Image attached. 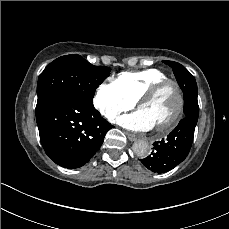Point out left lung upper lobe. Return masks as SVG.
Returning <instances> with one entry per match:
<instances>
[{
	"mask_svg": "<svg viewBox=\"0 0 229 229\" xmlns=\"http://www.w3.org/2000/svg\"><path fill=\"white\" fill-rule=\"evenodd\" d=\"M163 62L173 69L174 75L183 93L189 90H197V84L194 76L191 75L183 65L173 61Z\"/></svg>",
	"mask_w": 229,
	"mask_h": 229,
	"instance_id": "left-lung-upper-lobe-1",
	"label": "left lung upper lobe"
}]
</instances>
